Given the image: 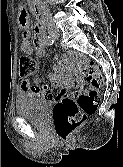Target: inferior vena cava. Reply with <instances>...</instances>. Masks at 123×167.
<instances>
[{
  "mask_svg": "<svg viewBox=\"0 0 123 167\" xmlns=\"http://www.w3.org/2000/svg\"><path fill=\"white\" fill-rule=\"evenodd\" d=\"M41 3H42V9H43V11L45 13H47V14H50L49 7H48L47 3L44 0H42Z\"/></svg>",
  "mask_w": 123,
  "mask_h": 167,
  "instance_id": "1",
  "label": "inferior vena cava"
}]
</instances>
